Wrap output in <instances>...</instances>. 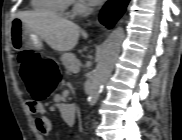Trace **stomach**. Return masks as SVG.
Returning <instances> with one entry per match:
<instances>
[{
  "mask_svg": "<svg viewBox=\"0 0 182 140\" xmlns=\"http://www.w3.org/2000/svg\"><path fill=\"white\" fill-rule=\"evenodd\" d=\"M12 46L17 49H39L42 46L41 38L30 31L20 18H15L11 26Z\"/></svg>",
  "mask_w": 182,
  "mask_h": 140,
  "instance_id": "stomach-1",
  "label": "stomach"
}]
</instances>
